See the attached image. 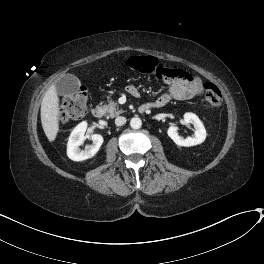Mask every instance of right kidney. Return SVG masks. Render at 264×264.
<instances>
[{
  "mask_svg": "<svg viewBox=\"0 0 264 264\" xmlns=\"http://www.w3.org/2000/svg\"><path fill=\"white\" fill-rule=\"evenodd\" d=\"M86 129L87 123L83 121L71 132L67 144V155L73 161H83L92 158L98 152L103 143V137L100 134H93L90 136L92 145L87 146L85 150H80L79 146L82 145L86 139L84 136Z\"/></svg>",
  "mask_w": 264,
  "mask_h": 264,
  "instance_id": "right-kidney-1",
  "label": "right kidney"
}]
</instances>
